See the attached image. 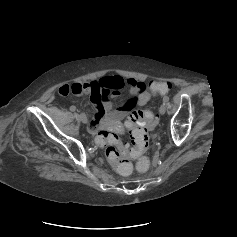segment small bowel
<instances>
[{
	"instance_id": "small-bowel-1",
	"label": "small bowel",
	"mask_w": 237,
	"mask_h": 237,
	"mask_svg": "<svg viewBox=\"0 0 237 237\" xmlns=\"http://www.w3.org/2000/svg\"><path fill=\"white\" fill-rule=\"evenodd\" d=\"M149 83L116 75L91 82L64 84L59 87L58 92L62 96L69 94L90 96L95 106V113L88 130L90 133H96L101 128L116 129L133 109L147 104L151 99ZM125 85L129 87L132 97L121 107L113 109L108 97L119 96L120 89Z\"/></svg>"
}]
</instances>
